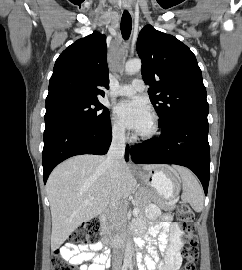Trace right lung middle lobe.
<instances>
[{
    "label": "right lung middle lobe",
    "instance_id": "right-lung-middle-lobe-1",
    "mask_svg": "<svg viewBox=\"0 0 242 270\" xmlns=\"http://www.w3.org/2000/svg\"><path fill=\"white\" fill-rule=\"evenodd\" d=\"M59 118H79L101 125L110 118V113L97 99L68 100L46 106L45 123Z\"/></svg>",
    "mask_w": 242,
    "mask_h": 270
}]
</instances>
